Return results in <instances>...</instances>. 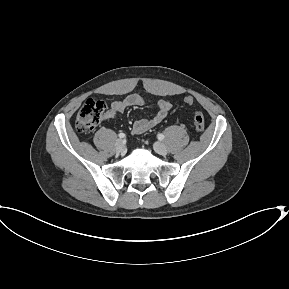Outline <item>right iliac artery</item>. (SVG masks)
<instances>
[{"label":"right iliac artery","instance_id":"82829eb1","mask_svg":"<svg viewBox=\"0 0 289 289\" xmlns=\"http://www.w3.org/2000/svg\"><path fill=\"white\" fill-rule=\"evenodd\" d=\"M118 136H119V138H125V134L124 133H120Z\"/></svg>","mask_w":289,"mask_h":289}]
</instances>
